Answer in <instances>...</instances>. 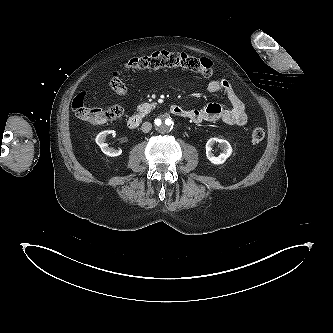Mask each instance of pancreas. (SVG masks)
<instances>
[{"label":"pancreas","instance_id":"obj_1","mask_svg":"<svg viewBox=\"0 0 333 333\" xmlns=\"http://www.w3.org/2000/svg\"><path fill=\"white\" fill-rule=\"evenodd\" d=\"M157 103H142L138 105L137 110L142 114L146 115L151 111V109L155 108Z\"/></svg>","mask_w":333,"mask_h":333}]
</instances>
